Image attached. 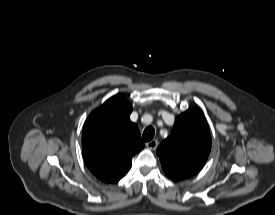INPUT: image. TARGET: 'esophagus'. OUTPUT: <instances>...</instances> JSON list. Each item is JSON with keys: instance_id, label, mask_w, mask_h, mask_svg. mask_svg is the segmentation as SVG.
<instances>
[{"instance_id": "34e87169", "label": "esophagus", "mask_w": 275, "mask_h": 215, "mask_svg": "<svg viewBox=\"0 0 275 215\" xmlns=\"http://www.w3.org/2000/svg\"><path fill=\"white\" fill-rule=\"evenodd\" d=\"M145 145L148 149L155 150L158 146V141L154 139V140L147 142Z\"/></svg>"}]
</instances>
